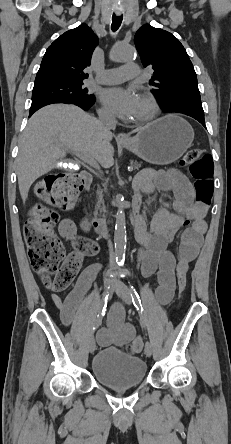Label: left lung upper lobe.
Wrapping results in <instances>:
<instances>
[{"label":"left lung upper lobe","instance_id":"obj_1","mask_svg":"<svg viewBox=\"0 0 231 444\" xmlns=\"http://www.w3.org/2000/svg\"><path fill=\"white\" fill-rule=\"evenodd\" d=\"M134 43L143 66L154 70L149 84L163 110L204 115L195 70L179 40L165 30L143 25Z\"/></svg>","mask_w":231,"mask_h":444}]
</instances>
